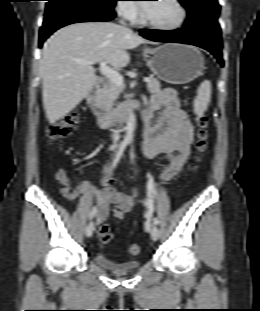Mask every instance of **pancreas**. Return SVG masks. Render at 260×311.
I'll list each match as a JSON object with an SVG mask.
<instances>
[{"mask_svg":"<svg viewBox=\"0 0 260 311\" xmlns=\"http://www.w3.org/2000/svg\"><path fill=\"white\" fill-rule=\"evenodd\" d=\"M150 81L147 83V89L150 93H157L161 90L160 82L154 78L150 77ZM123 91L122 86H118L111 80H108L100 91L98 98V106L100 109L110 112L114 102L118 99L120 93Z\"/></svg>","mask_w":260,"mask_h":311,"instance_id":"cf45deb5","label":"pancreas"}]
</instances>
